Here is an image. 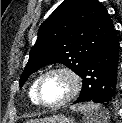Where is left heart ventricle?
Returning <instances> with one entry per match:
<instances>
[{"label": "left heart ventricle", "mask_w": 122, "mask_h": 123, "mask_svg": "<svg viewBox=\"0 0 122 123\" xmlns=\"http://www.w3.org/2000/svg\"><path fill=\"white\" fill-rule=\"evenodd\" d=\"M71 83L69 78L60 73L47 76L42 84L41 96L47 103H55L63 99L69 92Z\"/></svg>", "instance_id": "left-heart-ventricle-1"}]
</instances>
